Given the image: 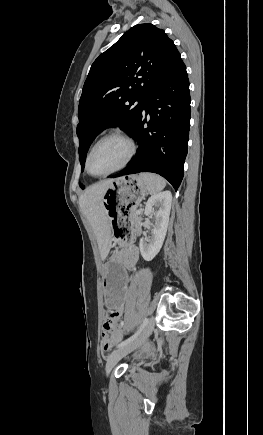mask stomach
I'll return each mask as SVG.
<instances>
[{
  "label": "stomach",
  "instance_id": "obj_1",
  "mask_svg": "<svg viewBox=\"0 0 263 435\" xmlns=\"http://www.w3.org/2000/svg\"><path fill=\"white\" fill-rule=\"evenodd\" d=\"M148 191L146 183L137 175L116 179L105 191L103 206L106 219L110 222V232L115 233L118 247H129L134 224H121L124 219H133V209L141 202ZM118 224H113L114 222ZM128 261L121 258H108L104 265L103 310H118L130 298L128 282L133 280Z\"/></svg>",
  "mask_w": 263,
  "mask_h": 435
}]
</instances>
